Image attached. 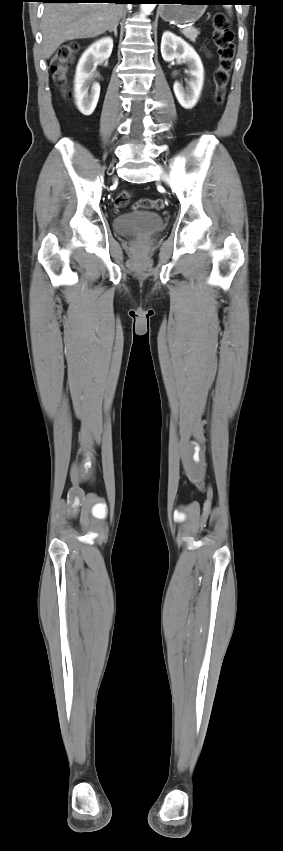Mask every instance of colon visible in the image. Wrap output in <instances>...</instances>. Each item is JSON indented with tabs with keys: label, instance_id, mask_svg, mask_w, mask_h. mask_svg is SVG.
I'll return each mask as SVG.
<instances>
[{
	"label": "colon",
	"instance_id": "1",
	"mask_svg": "<svg viewBox=\"0 0 283 851\" xmlns=\"http://www.w3.org/2000/svg\"><path fill=\"white\" fill-rule=\"evenodd\" d=\"M212 40L219 57V65L214 75V99L217 104H222L236 52L231 23L223 13H217L213 18ZM78 50L79 44L77 42H70L62 45L52 57L50 70L57 81L65 80L69 65ZM115 206L118 209L132 206L160 210L164 207V201L162 199L143 198L136 203H132L130 191L123 190L115 198Z\"/></svg>",
	"mask_w": 283,
	"mask_h": 851
}]
</instances>
